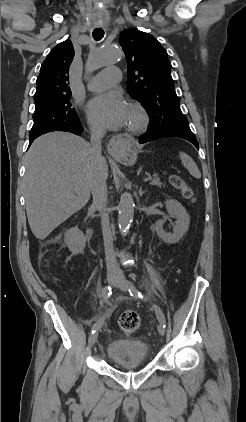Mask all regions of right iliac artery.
<instances>
[{
  "label": "right iliac artery",
  "mask_w": 246,
  "mask_h": 422,
  "mask_svg": "<svg viewBox=\"0 0 246 422\" xmlns=\"http://www.w3.org/2000/svg\"><path fill=\"white\" fill-rule=\"evenodd\" d=\"M103 296L104 299L108 300L109 297L111 296L112 292H111V287L110 286H106L103 291ZM104 323V317L100 318L93 326L91 329V333L93 334L96 330H98Z\"/></svg>",
  "instance_id": "right-iliac-artery-1"
}]
</instances>
